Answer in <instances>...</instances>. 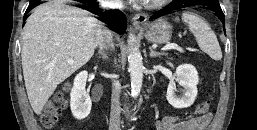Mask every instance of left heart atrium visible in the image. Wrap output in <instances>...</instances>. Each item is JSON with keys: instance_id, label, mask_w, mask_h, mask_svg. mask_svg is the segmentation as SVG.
I'll return each instance as SVG.
<instances>
[{"instance_id": "obj_1", "label": "left heart atrium", "mask_w": 257, "mask_h": 130, "mask_svg": "<svg viewBox=\"0 0 257 130\" xmlns=\"http://www.w3.org/2000/svg\"><path fill=\"white\" fill-rule=\"evenodd\" d=\"M133 1H137V2H147L149 0H133Z\"/></svg>"}]
</instances>
